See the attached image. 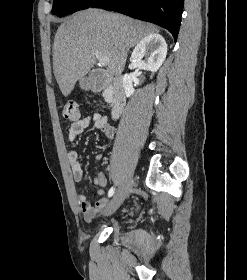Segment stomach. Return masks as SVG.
Segmentation results:
<instances>
[{
    "mask_svg": "<svg viewBox=\"0 0 247 280\" xmlns=\"http://www.w3.org/2000/svg\"><path fill=\"white\" fill-rule=\"evenodd\" d=\"M81 87H83L84 89H88L89 85H87L84 81L80 82Z\"/></svg>",
    "mask_w": 247,
    "mask_h": 280,
    "instance_id": "1",
    "label": "stomach"
}]
</instances>
